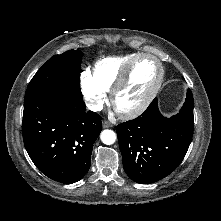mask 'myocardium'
Masks as SVG:
<instances>
[{"label":"myocardium","instance_id":"myocardium-1","mask_svg":"<svg viewBox=\"0 0 221 221\" xmlns=\"http://www.w3.org/2000/svg\"><path fill=\"white\" fill-rule=\"evenodd\" d=\"M143 58H150L157 63V65L159 67L158 79H157L154 87L152 88V90L149 92V94L145 97V99L138 106H136L135 108H132V109H128V110L120 109L116 106L117 96L127 85L130 75L133 71V68L135 67L137 62ZM164 76H165L164 66L158 57H156L155 55L150 54V53H140L138 56L133 58L126 65V67L123 69L120 76L118 77L117 81L115 82L113 88L111 89L110 100H111V104L113 105L115 111L121 117L126 118V119H132V118H135V117L141 115L149 107V105L152 103V101L154 100V98L156 97L158 92L160 91L162 83L164 81Z\"/></svg>","mask_w":221,"mask_h":221}]
</instances>
